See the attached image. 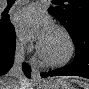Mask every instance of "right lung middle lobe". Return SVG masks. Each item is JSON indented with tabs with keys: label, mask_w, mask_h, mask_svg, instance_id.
I'll return each mask as SVG.
<instances>
[{
	"label": "right lung middle lobe",
	"mask_w": 89,
	"mask_h": 89,
	"mask_svg": "<svg viewBox=\"0 0 89 89\" xmlns=\"http://www.w3.org/2000/svg\"><path fill=\"white\" fill-rule=\"evenodd\" d=\"M5 23H6V20H4V19L0 20V26L4 25Z\"/></svg>",
	"instance_id": "1"
}]
</instances>
